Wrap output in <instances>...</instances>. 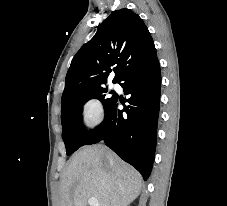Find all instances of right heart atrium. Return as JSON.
Here are the masks:
<instances>
[{
	"mask_svg": "<svg viewBox=\"0 0 227 206\" xmlns=\"http://www.w3.org/2000/svg\"><path fill=\"white\" fill-rule=\"evenodd\" d=\"M81 116L86 128H96L104 117V110L101 102L96 98L86 100L81 107Z\"/></svg>",
	"mask_w": 227,
	"mask_h": 206,
	"instance_id": "1",
	"label": "right heart atrium"
}]
</instances>
